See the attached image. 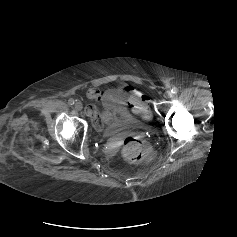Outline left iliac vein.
Masks as SVG:
<instances>
[{"mask_svg": "<svg viewBox=\"0 0 237 237\" xmlns=\"http://www.w3.org/2000/svg\"><path fill=\"white\" fill-rule=\"evenodd\" d=\"M165 96L168 97V98L172 97L171 91H167V92L165 93Z\"/></svg>", "mask_w": 237, "mask_h": 237, "instance_id": "4c4485c4", "label": "left iliac vein"}]
</instances>
